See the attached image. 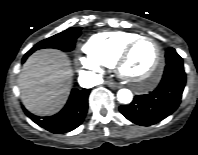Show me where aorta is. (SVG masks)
I'll use <instances>...</instances> for the list:
<instances>
[{
    "mask_svg": "<svg viewBox=\"0 0 198 155\" xmlns=\"http://www.w3.org/2000/svg\"><path fill=\"white\" fill-rule=\"evenodd\" d=\"M118 101L122 104H129L133 99V94L129 89H120L117 92Z\"/></svg>",
    "mask_w": 198,
    "mask_h": 155,
    "instance_id": "1",
    "label": "aorta"
}]
</instances>
